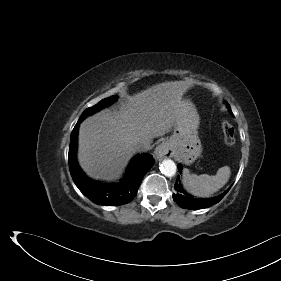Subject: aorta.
<instances>
[{
    "mask_svg": "<svg viewBox=\"0 0 281 281\" xmlns=\"http://www.w3.org/2000/svg\"><path fill=\"white\" fill-rule=\"evenodd\" d=\"M176 164L171 159H164L160 165V171L167 177H172L176 174Z\"/></svg>",
    "mask_w": 281,
    "mask_h": 281,
    "instance_id": "obj_1",
    "label": "aorta"
}]
</instances>
